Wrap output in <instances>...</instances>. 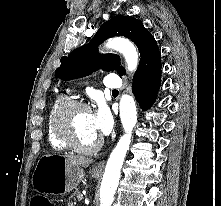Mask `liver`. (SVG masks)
<instances>
[{"instance_id": "obj_1", "label": "liver", "mask_w": 221, "mask_h": 206, "mask_svg": "<svg viewBox=\"0 0 221 206\" xmlns=\"http://www.w3.org/2000/svg\"><path fill=\"white\" fill-rule=\"evenodd\" d=\"M66 157L73 165H78L80 167H88L93 162L92 159H88L85 157H73V156H66Z\"/></svg>"}]
</instances>
